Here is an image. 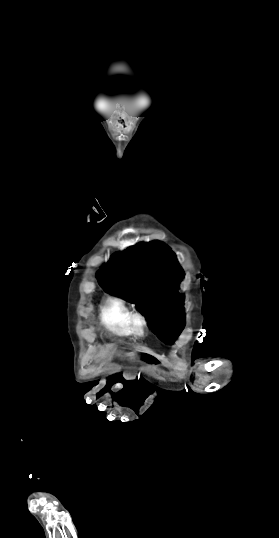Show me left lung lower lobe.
<instances>
[{"mask_svg": "<svg viewBox=\"0 0 279 538\" xmlns=\"http://www.w3.org/2000/svg\"><path fill=\"white\" fill-rule=\"evenodd\" d=\"M176 338H177V335L175 334H166L161 338V340H163L167 344H172Z\"/></svg>", "mask_w": 279, "mask_h": 538, "instance_id": "left-lung-lower-lobe-1", "label": "left lung lower lobe"}]
</instances>
